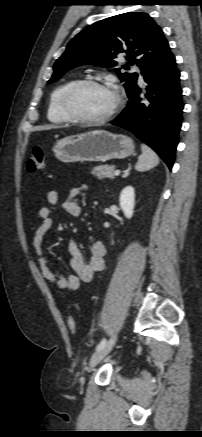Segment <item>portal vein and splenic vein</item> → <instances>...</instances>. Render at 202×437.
Instances as JSON below:
<instances>
[{
	"label": "portal vein and splenic vein",
	"mask_w": 202,
	"mask_h": 437,
	"mask_svg": "<svg viewBox=\"0 0 202 437\" xmlns=\"http://www.w3.org/2000/svg\"><path fill=\"white\" fill-rule=\"evenodd\" d=\"M114 174H115V176H119V175H120V170H116V171L114 172Z\"/></svg>",
	"instance_id": "1"
}]
</instances>
